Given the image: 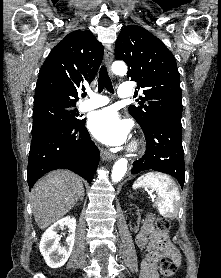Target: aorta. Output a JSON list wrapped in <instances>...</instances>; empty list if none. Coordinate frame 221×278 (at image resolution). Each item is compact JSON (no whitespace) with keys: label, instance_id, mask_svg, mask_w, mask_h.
Returning <instances> with one entry per match:
<instances>
[{"label":"aorta","instance_id":"obj_1","mask_svg":"<svg viewBox=\"0 0 221 278\" xmlns=\"http://www.w3.org/2000/svg\"><path fill=\"white\" fill-rule=\"evenodd\" d=\"M112 72L116 75H124L127 73V66L122 61H116L112 64ZM128 161L125 158L117 160L113 166L111 179L113 182H119L127 171Z\"/></svg>","mask_w":221,"mask_h":278}]
</instances>
